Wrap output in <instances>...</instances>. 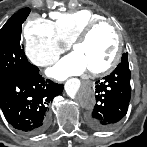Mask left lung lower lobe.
I'll use <instances>...</instances> for the list:
<instances>
[{"label":"left lung lower lobe","mask_w":147,"mask_h":147,"mask_svg":"<svg viewBox=\"0 0 147 147\" xmlns=\"http://www.w3.org/2000/svg\"><path fill=\"white\" fill-rule=\"evenodd\" d=\"M130 78L128 61L123 60L110 75L96 82V104L87 118L88 126L96 130H109L120 122L130 102Z\"/></svg>","instance_id":"left-lung-lower-lobe-1"}]
</instances>
